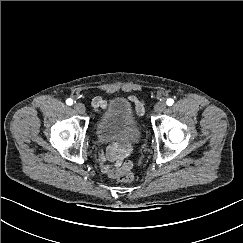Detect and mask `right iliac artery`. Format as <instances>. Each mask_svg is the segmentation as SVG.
<instances>
[{
	"mask_svg": "<svg viewBox=\"0 0 243 243\" xmlns=\"http://www.w3.org/2000/svg\"><path fill=\"white\" fill-rule=\"evenodd\" d=\"M66 104H67V105H72V104H73V100L70 99V98L67 99V100H66Z\"/></svg>",
	"mask_w": 243,
	"mask_h": 243,
	"instance_id": "obj_1",
	"label": "right iliac artery"
}]
</instances>
